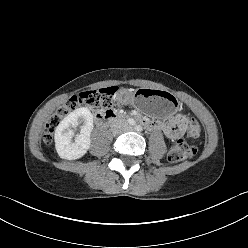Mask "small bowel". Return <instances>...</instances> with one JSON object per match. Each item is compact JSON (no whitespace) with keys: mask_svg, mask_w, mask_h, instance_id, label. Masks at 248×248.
<instances>
[{"mask_svg":"<svg viewBox=\"0 0 248 248\" xmlns=\"http://www.w3.org/2000/svg\"><path fill=\"white\" fill-rule=\"evenodd\" d=\"M145 124L151 129H161L167 137L175 139L180 137L188 124L186 115L179 113L170 122L146 121Z\"/></svg>","mask_w":248,"mask_h":248,"instance_id":"obj_1","label":"small bowel"}]
</instances>
